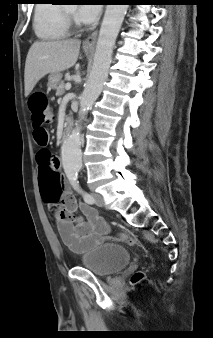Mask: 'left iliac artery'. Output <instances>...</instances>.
<instances>
[{"label":"left iliac artery","instance_id":"44dca946","mask_svg":"<svg viewBox=\"0 0 213 338\" xmlns=\"http://www.w3.org/2000/svg\"><path fill=\"white\" fill-rule=\"evenodd\" d=\"M73 187H74V189H75L76 191H78L79 193L82 194L83 199H84V201H85L86 203H88V204H93V203H94V198H93V196H91L89 193L83 191V190L81 189V187L79 186V182L74 183V184H73Z\"/></svg>","mask_w":213,"mask_h":338}]
</instances>
